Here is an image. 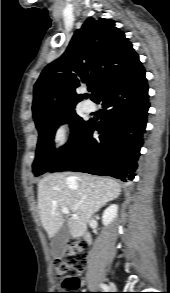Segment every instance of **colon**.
I'll list each match as a JSON object with an SVG mask.
<instances>
[{"label":"colon","mask_w":170,"mask_h":293,"mask_svg":"<svg viewBox=\"0 0 170 293\" xmlns=\"http://www.w3.org/2000/svg\"><path fill=\"white\" fill-rule=\"evenodd\" d=\"M70 247L75 250L73 253L67 255V258H54L53 267L56 276L62 280L60 285L61 291L68 292H55V293H73L80 285L77 274L85 267L87 256L81 245L77 240H70Z\"/></svg>","instance_id":"obj_1"}]
</instances>
